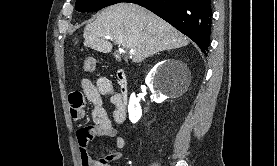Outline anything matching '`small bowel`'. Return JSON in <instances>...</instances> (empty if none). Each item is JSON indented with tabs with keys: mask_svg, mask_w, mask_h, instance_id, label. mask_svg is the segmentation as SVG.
Returning <instances> with one entry per match:
<instances>
[{
	"mask_svg": "<svg viewBox=\"0 0 277 166\" xmlns=\"http://www.w3.org/2000/svg\"><path fill=\"white\" fill-rule=\"evenodd\" d=\"M81 88L82 91H73L68 95L69 112L73 120H80L84 117L86 101L93 106L94 125L82 127L77 131L81 166H111L113 161L122 157L121 150L125 146V140L117 131V127L125 119L119 111L118 93L114 91L111 81L106 77H99L95 82L84 78L81 80ZM103 96H110V101L115 107L113 120L109 118L103 106ZM96 138L114 140L117 150L104 155L99 161L94 160L89 154V144Z\"/></svg>",
	"mask_w": 277,
	"mask_h": 166,
	"instance_id": "obj_1",
	"label": "small bowel"
}]
</instances>
